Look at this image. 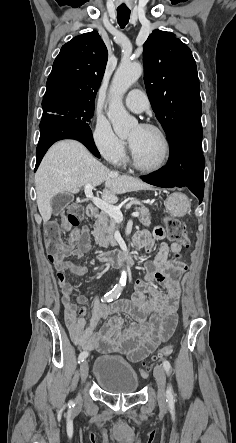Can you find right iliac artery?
Returning a JSON list of instances; mask_svg holds the SVG:
<instances>
[{"label": "right iliac artery", "mask_w": 236, "mask_h": 443, "mask_svg": "<svg viewBox=\"0 0 236 443\" xmlns=\"http://www.w3.org/2000/svg\"><path fill=\"white\" fill-rule=\"evenodd\" d=\"M121 291H122V286H120V285H116L111 291H109L108 293H106V294L104 295V297L101 299L102 302H111V301L117 299V298L120 296ZM87 356H88V352H86V351H82V352L79 354V357H78V360H79V361H78V362H79V363H80V362H83L84 359H86ZM70 404L72 405L73 402H70Z\"/></svg>", "instance_id": "1"}]
</instances>
